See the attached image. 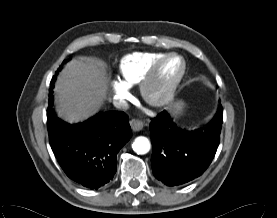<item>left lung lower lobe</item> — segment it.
<instances>
[{
    "label": "left lung lower lobe",
    "instance_id": "1",
    "mask_svg": "<svg viewBox=\"0 0 277 218\" xmlns=\"http://www.w3.org/2000/svg\"><path fill=\"white\" fill-rule=\"evenodd\" d=\"M222 106L212 120L194 131L175 126L167 111L150 123L154 176L168 186L187 183L208 168L220 141Z\"/></svg>",
    "mask_w": 277,
    "mask_h": 218
}]
</instances>
